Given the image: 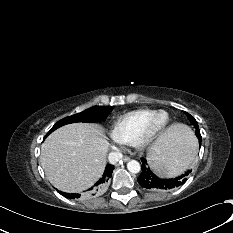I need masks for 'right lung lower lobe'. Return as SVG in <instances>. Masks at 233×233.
<instances>
[{"mask_svg": "<svg viewBox=\"0 0 233 233\" xmlns=\"http://www.w3.org/2000/svg\"><path fill=\"white\" fill-rule=\"evenodd\" d=\"M113 169H114L113 165H107L103 176L84 195L89 196V195H95L101 193L107 186V183L111 178ZM59 193L65 196L66 198H70V199H78L82 196L81 194H69L62 191H59Z\"/></svg>", "mask_w": 233, "mask_h": 233, "instance_id": "right-lung-lower-lobe-1", "label": "right lung lower lobe"}]
</instances>
